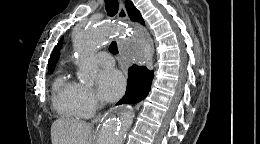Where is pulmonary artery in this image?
<instances>
[{"instance_id": "1", "label": "pulmonary artery", "mask_w": 260, "mask_h": 144, "mask_svg": "<svg viewBox=\"0 0 260 144\" xmlns=\"http://www.w3.org/2000/svg\"><path fill=\"white\" fill-rule=\"evenodd\" d=\"M96 58L99 65L104 68H111L115 64L113 57L108 52H100Z\"/></svg>"}]
</instances>
